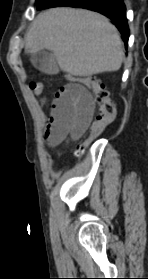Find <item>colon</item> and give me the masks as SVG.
I'll return each mask as SVG.
<instances>
[{
  "mask_svg": "<svg viewBox=\"0 0 148 279\" xmlns=\"http://www.w3.org/2000/svg\"><path fill=\"white\" fill-rule=\"evenodd\" d=\"M70 81L71 83L79 84L90 89L94 94L97 107V116L89 130V136L94 137L100 134L109 124L114 121L117 112L116 105L105 85L97 77H71ZM30 89L45 101L49 100L50 96L44 84L31 83Z\"/></svg>",
  "mask_w": 148,
  "mask_h": 279,
  "instance_id": "5ec220e1",
  "label": "colon"
}]
</instances>
